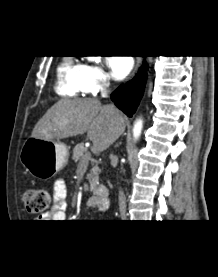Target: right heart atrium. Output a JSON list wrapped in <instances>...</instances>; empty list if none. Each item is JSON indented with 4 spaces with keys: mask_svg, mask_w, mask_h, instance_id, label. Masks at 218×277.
Masks as SVG:
<instances>
[{
    "mask_svg": "<svg viewBox=\"0 0 218 277\" xmlns=\"http://www.w3.org/2000/svg\"><path fill=\"white\" fill-rule=\"evenodd\" d=\"M109 83L108 77L98 64L83 65L82 85L84 92H95L105 88Z\"/></svg>",
    "mask_w": 218,
    "mask_h": 277,
    "instance_id": "right-heart-atrium-1",
    "label": "right heart atrium"
}]
</instances>
